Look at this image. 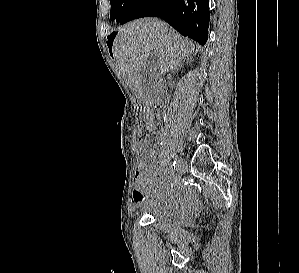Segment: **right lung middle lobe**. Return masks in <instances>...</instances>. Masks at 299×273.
<instances>
[{"mask_svg": "<svg viewBox=\"0 0 299 273\" xmlns=\"http://www.w3.org/2000/svg\"><path fill=\"white\" fill-rule=\"evenodd\" d=\"M136 0H110V19L120 22L127 10Z\"/></svg>", "mask_w": 299, "mask_h": 273, "instance_id": "obj_1", "label": "right lung middle lobe"}]
</instances>
